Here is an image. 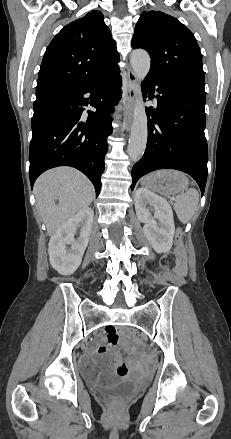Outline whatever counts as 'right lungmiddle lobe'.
Wrapping results in <instances>:
<instances>
[{
	"mask_svg": "<svg viewBox=\"0 0 231 439\" xmlns=\"http://www.w3.org/2000/svg\"><path fill=\"white\" fill-rule=\"evenodd\" d=\"M52 106H34V116H43L52 112Z\"/></svg>",
	"mask_w": 231,
	"mask_h": 439,
	"instance_id": "right-lung-middle-lobe-1",
	"label": "right lung middle lobe"
}]
</instances>
